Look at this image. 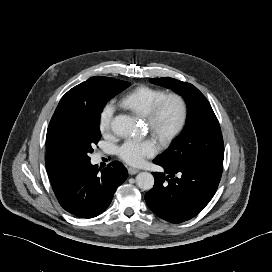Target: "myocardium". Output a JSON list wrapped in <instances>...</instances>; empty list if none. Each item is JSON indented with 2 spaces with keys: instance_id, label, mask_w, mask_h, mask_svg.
<instances>
[{
  "instance_id": "1",
  "label": "myocardium",
  "mask_w": 272,
  "mask_h": 272,
  "mask_svg": "<svg viewBox=\"0 0 272 272\" xmlns=\"http://www.w3.org/2000/svg\"><path fill=\"white\" fill-rule=\"evenodd\" d=\"M173 102L177 108L175 122L168 129L160 128V118L165 105ZM152 134L163 144L170 142L182 130L187 118V104L182 95L171 92L164 94L145 117Z\"/></svg>"
}]
</instances>
